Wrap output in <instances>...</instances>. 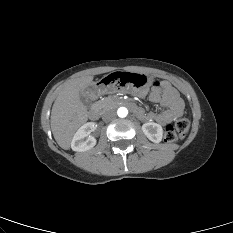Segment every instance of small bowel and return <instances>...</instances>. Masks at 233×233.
Listing matches in <instances>:
<instances>
[{
  "label": "small bowel",
  "instance_id": "1",
  "mask_svg": "<svg viewBox=\"0 0 233 233\" xmlns=\"http://www.w3.org/2000/svg\"><path fill=\"white\" fill-rule=\"evenodd\" d=\"M147 93L148 91L146 89H142L137 92V95L139 97H144ZM149 99L164 108L159 114L148 113L144 115L141 110L142 113L139 117L146 118V120L150 122H157L165 125L172 122L183 113L184 103L178 92L169 83H163L160 87L153 88L149 93Z\"/></svg>",
  "mask_w": 233,
  "mask_h": 233
}]
</instances>
